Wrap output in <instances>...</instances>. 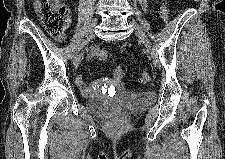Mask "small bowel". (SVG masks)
Returning <instances> with one entry per match:
<instances>
[{"label": "small bowel", "mask_w": 225, "mask_h": 159, "mask_svg": "<svg viewBox=\"0 0 225 159\" xmlns=\"http://www.w3.org/2000/svg\"><path fill=\"white\" fill-rule=\"evenodd\" d=\"M62 37L58 38V40H61ZM98 49L97 46H94L92 48H90L88 50V57L89 58H93L95 56V52ZM107 81L102 79L99 80L96 84H94L92 87H88L85 83V80L83 77L78 76L75 80L76 85L78 86V88L81 90V92L87 96H91L95 93L97 87H99V85H102L104 83H106Z\"/></svg>", "instance_id": "c3829d8e"}]
</instances>
